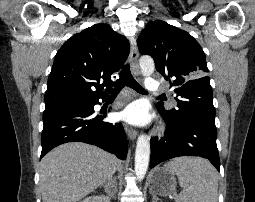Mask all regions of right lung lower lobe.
<instances>
[{
    "label": "right lung lower lobe",
    "instance_id": "98d812e1",
    "mask_svg": "<svg viewBox=\"0 0 255 202\" xmlns=\"http://www.w3.org/2000/svg\"><path fill=\"white\" fill-rule=\"evenodd\" d=\"M103 100L106 96L100 97ZM99 98L85 102L45 110L41 137V158L54 147L73 141L96 145L124 160L127 155V139L121 123L102 121L106 117L94 114Z\"/></svg>",
    "mask_w": 255,
    "mask_h": 202
}]
</instances>
